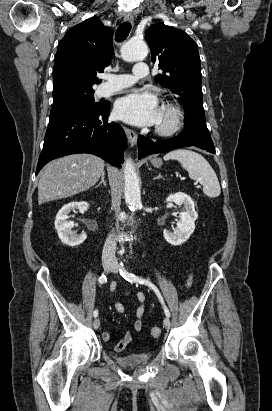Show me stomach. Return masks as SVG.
<instances>
[{
    "instance_id": "0dacf381",
    "label": "stomach",
    "mask_w": 272,
    "mask_h": 411,
    "mask_svg": "<svg viewBox=\"0 0 272 411\" xmlns=\"http://www.w3.org/2000/svg\"><path fill=\"white\" fill-rule=\"evenodd\" d=\"M152 164H153V166L154 167H160L161 165H162V160L161 159H157V158H155V159H152Z\"/></svg>"
}]
</instances>
